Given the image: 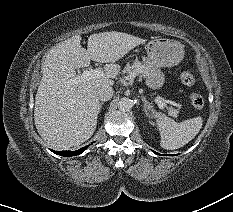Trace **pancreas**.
I'll return each instance as SVG.
<instances>
[{"mask_svg":"<svg viewBox=\"0 0 233 212\" xmlns=\"http://www.w3.org/2000/svg\"><path fill=\"white\" fill-rule=\"evenodd\" d=\"M122 72L123 74H127L128 78H134L147 73L148 67L142 64L139 60H135L133 65H126ZM167 110H168V114L173 117H177L179 113L178 110L173 109L172 107H167Z\"/></svg>","mask_w":233,"mask_h":212,"instance_id":"cf45deb5","label":"pancreas"}]
</instances>
